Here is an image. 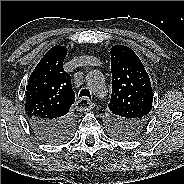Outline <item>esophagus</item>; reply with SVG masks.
Returning <instances> with one entry per match:
<instances>
[{
  "mask_svg": "<svg viewBox=\"0 0 184 184\" xmlns=\"http://www.w3.org/2000/svg\"><path fill=\"white\" fill-rule=\"evenodd\" d=\"M95 107V104L91 101H89L87 98L83 97L79 99L76 103V108L80 111H87L91 110Z\"/></svg>",
  "mask_w": 184,
  "mask_h": 184,
  "instance_id": "esophagus-1",
  "label": "esophagus"
}]
</instances>
